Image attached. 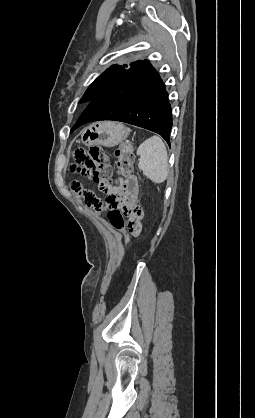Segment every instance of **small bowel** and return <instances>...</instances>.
Instances as JSON below:
<instances>
[{"label":"small bowel","mask_w":255,"mask_h":418,"mask_svg":"<svg viewBox=\"0 0 255 418\" xmlns=\"http://www.w3.org/2000/svg\"><path fill=\"white\" fill-rule=\"evenodd\" d=\"M119 192L123 197L124 207L127 209H131L137 201L139 192L137 178L134 176L129 177L126 181L122 183ZM127 234L133 237H143L145 235V230L143 228H133L129 229L127 231Z\"/></svg>","instance_id":"1"}]
</instances>
